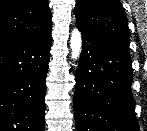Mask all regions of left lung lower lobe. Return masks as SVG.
<instances>
[{"label":"left lung lower lobe","mask_w":147,"mask_h":131,"mask_svg":"<svg viewBox=\"0 0 147 131\" xmlns=\"http://www.w3.org/2000/svg\"><path fill=\"white\" fill-rule=\"evenodd\" d=\"M74 93L76 131H139L129 50L87 32Z\"/></svg>","instance_id":"obj_1"}]
</instances>
